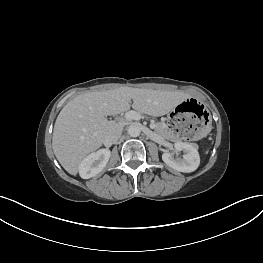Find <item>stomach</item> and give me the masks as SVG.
I'll list each match as a JSON object with an SVG mask.
<instances>
[{
	"instance_id": "obj_1",
	"label": "stomach",
	"mask_w": 263,
	"mask_h": 263,
	"mask_svg": "<svg viewBox=\"0 0 263 263\" xmlns=\"http://www.w3.org/2000/svg\"><path fill=\"white\" fill-rule=\"evenodd\" d=\"M170 134L180 141H200L213 128V117L206 106L195 98L178 101L167 117Z\"/></svg>"
}]
</instances>
